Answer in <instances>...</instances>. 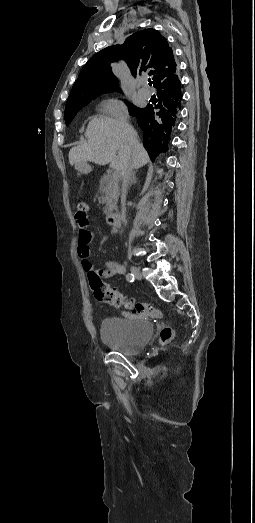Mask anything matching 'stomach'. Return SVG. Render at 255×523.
<instances>
[{
    "label": "stomach",
    "mask_w": 255,
    "mask_h": 523,
    "mask_svg": "<svg viewBox=\"0 0 255 523\" xmlns=\"http://www.w3.org/2000/svg\"><path fill=\"white\" fill-rule=\"evenodd\" d=\"M79 174L81 176H90L92 174V167L90 165H81L79 167Z\"/></svg>",
    "instance_id": "1"
}]
</instances>
